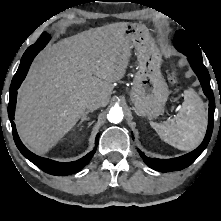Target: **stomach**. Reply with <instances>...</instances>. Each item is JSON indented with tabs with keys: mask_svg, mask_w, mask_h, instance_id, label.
Instances as JSON below:
<instances>
[{
	"mask_svg": "<svg viewBox=\"0 0 221 221\" xmlns=\"http://www.w3.org/2000/svg\"><path fill=\"white\" fill-rule=\"evenodd\" d=\"M125 35L135 49L139 67L130 92L131 101L138 115L156 118L163 113L169 96L167 83L160 71L162 54L142 26L129 24Z\"/></svg>",
	"mask_w": 221,
	"mask_h": 221,
	"instance_id": "obj_1",
	"label": "stomach"
}]
</instances>
